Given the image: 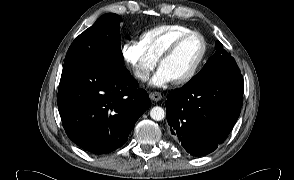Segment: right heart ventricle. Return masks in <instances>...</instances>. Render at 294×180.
I'll use <instances>...</instances> for the list:
<instances>
[{"instance_id": "e07e8e85", "label": "right heart ventricle", "mask_w": 294, "mask_h": 180, "mask_svg": "<svg viewBox=\"0 0 294 180\" xmlns=\"http://www.w3.org/2000/svg\"><path fill=\"white\" fill-rule=\"evenodd\" d=\"M191 31L181 24H166L146 29L139 34V42L144 49L156 59L180 35Z\"/></svg>"}]
</instances>
